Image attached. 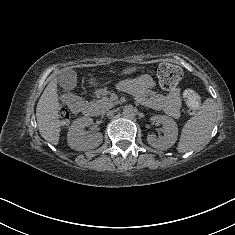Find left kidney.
Returning a JSON list of instances; mask_svg holds the SVG:
<instances>
[{"label": "left kidney", "instance_id": "obj_1", "mask_svg": "<svg viewBox=\"0 0 235 235\" xmlns=\"http://www.w3.org/2000/svg\"><path fill=\"white\" fill-rule=\"evenodd\" d=\"M148 122L151 126H162L163 133V135L158 137L155 134H148L147 142L150 146L167 150L175 144L178 136V127L173 119L165 115L153 114L148 118Z\"/></svg>", "mask_w": 235, "mask_h": 235}]
</instances>
